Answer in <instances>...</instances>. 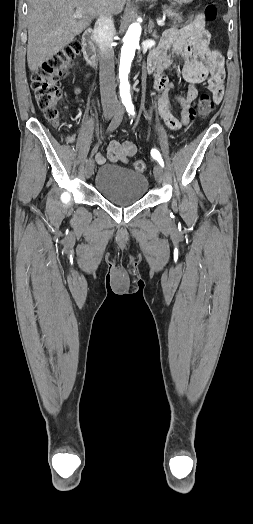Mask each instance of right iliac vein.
<instances>
[{
  "instance_id": "1",
  "label": "right iliac vein",
  "mask_w": 253,
  "mask_h": 524,
  "mask_svg": "<svg viewBox=\"0 0 253 524\" xmlns=\"http://www.w3.org/2000/svg\"><path fill=\"white\" fill-rule=\"evenodd\" d=\"M115 110L113 108H107L104 110V117L106 120H109L114 115ZM94 171V161L91 159L87 162L85 167V176L86 178H90Z\"/></svg>"
}]
</instances>
